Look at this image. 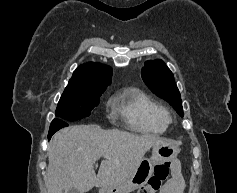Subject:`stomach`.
Masks as SVG:
<instances>
[{"instance_id":"stomach-1","label":"stomach","mask_w":237,"mask_h":193,"mask_svg":"<svg viewBox=\"0 0 237 193\" xmlns=\"http://www.w3.org/2000/svg\"><path fill=\"white\" fill-rule=\"evenodd\" d=\"M178 153V146L169 141L153 146L151 158L142 159L130 176L112 186L102 187L99 193H130L143 187L152 176L154 166L157 163L171 161L177 157Z\"/></svg>"}]
</instances>
